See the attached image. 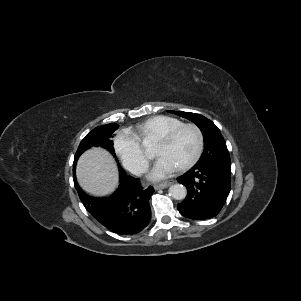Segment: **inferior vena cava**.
<instances>
[{"instance_id":"1","label":"inferior vena cava","mask_w":301,"mask_h":301,"mask_svg":"<svg viewBox=\"0 0 301 301\" xmlns=\"http://www.w3.org/2000/svg\"><path fill=\"white\" fill-rule=\"evenodd\" d=\"M145 170H146V168H144V167H137V168H135L134 173L140 174V173L145 172Z\"/></svg>"}]
</instances>
